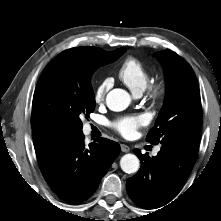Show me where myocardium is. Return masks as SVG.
<instances>
[{
	"mask_svg": "<svg viewBox=\"0 0 221 221\" xmlns=\"http://www.w3.org/2000/svg\"><path fill=\"white\" fill-rule=\"evenodd\" d=\"M148 95L154 103L162 102L167 95V85L165 81L158 80L151 83L148 86Z\"/></svg>",
	"mask_w": 221,
	"mask_h": 221,
	"instance_id": "myocardium-1",
	"label": "myocardium"
}]
</instances>
